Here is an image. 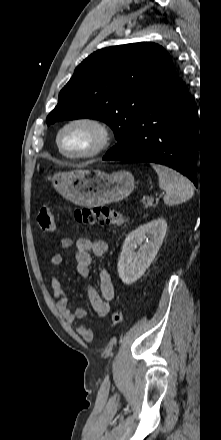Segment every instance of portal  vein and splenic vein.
<instances>
[{"label": "portal vein and splenic vein", "instance_id": "18ae733b", "mask_svg": "<svg viewBox=\"0 0 221 440\" xmlns=\"http://www.w3.org/2000/svg\"><path fill=\"white\" fill-rule=\"evenodd\" d=\"M160 196H161V195H160ZM160 196L156 198V202H158V201H159V198H160Z\"/></svg>", "mask_w": 221, "mask_h": 440}]
</instances>
